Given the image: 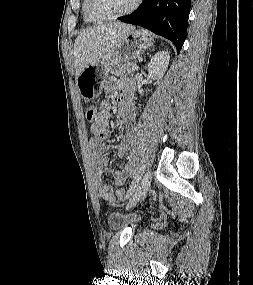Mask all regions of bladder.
Masks as SVG:
<instances>
[{
	"label": "bladder",
	"instance_id": "1",
	"mask_svg": "<svg viewBox=\"0 0 253 285\" xmlns=\"http://www.w3.org/2000/svg\"><path fill=\"white\" fill-rule=\"evenodd\" d=\"M136 223H137V216L135 214H128L116 210L108 215V224L113 229L134 227Z\"/></svg>",
	"mask_w": 253,
	"mask_h": 285
}]
</instances>
